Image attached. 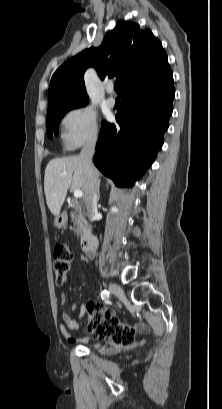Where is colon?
Segmentation results:
<instances>
[{
  "instance_id": "5ec220e1",
  "label": "colon",
  "mask_w": 222,
  "mask_h": 409,
  "mask_svg": "<svg viewBox=\"0 0 222 409\" xmlns=\"http://www.w3.org/2000/svg\"><path fill=\"white\" fill-rule=\"evenodd\" d=\"M72 259L73 254L67 244L61 243L55 247L52 266L58 285L65 282ZM88 330L95 339H108L117 344H127L134 338V331L131 328L113 318L111 310L98 304L89 306Z\"/></svg>"
}]
</instances>
